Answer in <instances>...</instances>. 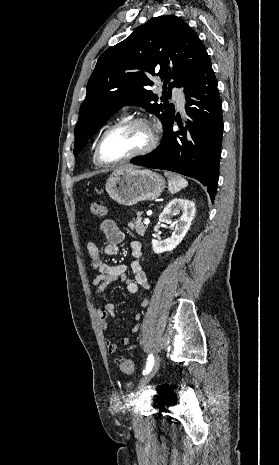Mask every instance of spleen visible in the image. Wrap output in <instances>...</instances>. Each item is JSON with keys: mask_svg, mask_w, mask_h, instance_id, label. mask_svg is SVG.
<instances>
[{"mask_svg": "<svg viewBox=\"0 0 279 465\" xmlns=\"http://www.w3.org/2000/svg\"><path fill=\"white\" fill-rule=\"evenodd\" d=\"M164 175L168 179V189L171 193H176L188 185L186 179L179 175H175L169 172H165Z\"/></svg>", "mask_w": 279, "mask_h": 465, "instance_id": "spleen-1", "label": "spleen"}]
</instances>
